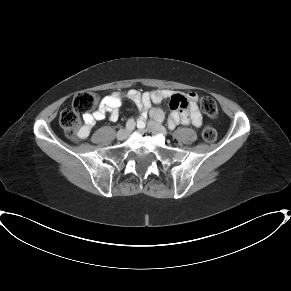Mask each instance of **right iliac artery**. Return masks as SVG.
<instances>
[{
	"label": "right iliac artery",
	"instance_id": "obj_1",
	"mask_svg": "<svg viewBox=\"0 0 291 291\" xmlns=\"http://www.w3.org/2000/svg\"><path fill=\"white\" fill-rule=\"evenodd\" d=\"M135 127V121L134 119H129L126 123V129L127 130H133Z\"/></svg>",
	"mask_w": 291,
	"mask_h": 291
}]
</instances>
